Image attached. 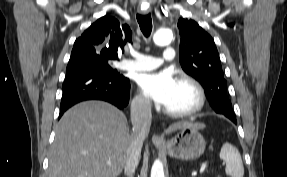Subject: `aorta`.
<instances>
[{"label": "aorta", "mask_w": 287, "mask_h": 177, "mask_svg": "<svg viewBox=\"0 0 287 177\" xmlns=\"http://www.w3.org/2000/svg\"><path fill=\"white\" fill-rule=\"evenodd\" d=\"M173 33L169 29H159L153 36L156 45L164 46L171 43ZM150 177H164V168L162 162L157 159L152 165Z\"/></svg>", "instance_id": "762f6f07"}]
</instances>
